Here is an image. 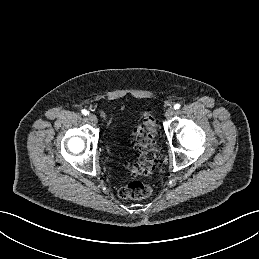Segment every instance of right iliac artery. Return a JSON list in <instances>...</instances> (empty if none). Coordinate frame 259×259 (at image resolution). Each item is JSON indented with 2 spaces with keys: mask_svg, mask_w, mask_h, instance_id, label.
<instances>
[{
  "mask_svg": "<svg viewBox=\"0 0 259 259\" xmlns=\"http://www.w3.org/2000/svg\"><path fill=\"white\" fill-rule=\"evenodd\" d=\"M82 114L85 115V116H87V115L89 114V112H88L87 110L83 109V110H82Z\"/></svg>",
  "mask_w": 259,
  "mask_h": 259,
  "instance_id": "obj_1",
  "label": "right iliac artery"
}]
</instances>
